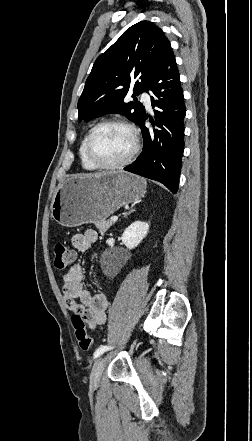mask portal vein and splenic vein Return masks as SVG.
Instances as JSON below:
<instances>
[{
	"instance_id": "1",
	"label": "portal vein and splenic vein",
	"mask_w": 252,
	"mask_h": 441,
	"mask_svg": "<svg viewBox=\"0 0 252 441\" xmlns=\"http://www.w3.org/2000/svg\"><path fill=\"white\" fill-rule=\"evenodd\" d=\"M117 220H118V217H117V216H112V217H111V221H112V222H116Z\"/></svg>"
}]
</instances>
